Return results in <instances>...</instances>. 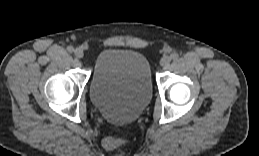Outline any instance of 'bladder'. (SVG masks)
Instances as JSON below:
<instances>
[{
  "label": "bladder",
  "mask_w": 259,
  "mask_h": 156,
  "mask_svg": "<svg viewBox=\"0 0 259 156\" xmlns=\"http://www.w3.org/2000/svg\"><path fill=\"white\" fill-rule=\"evenodd\" d=\"M90 96L97 110L111 122L137 119L152 97L148 60L132 50H103L95 61Z\"/></svg>",
  "instance_id": "bladder-1"
}]
</instances>
